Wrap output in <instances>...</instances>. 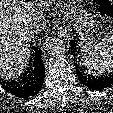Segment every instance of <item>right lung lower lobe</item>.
Masks as SVG:
<instances>
[{
    "mask_svg": "<svg viewBox=\"0 0 113 113\" xmlns=\"http://www.w3.org/2000/svg\"><path fill=\"white\" fill-rule=\"evenodd\" d=\"M45 77V68L42 61V50L34 48L30 60V67L21 76L19 81L0 80L2 87L10 94L28 99L35 96L42 88ZM1 78V77H0Z\"/></svg>",
    "mask_w": 113,
    "mask_h": 113,
    "instance_id": "obj_1",
    "label": "right lung lower lobe"
}]
</instances>
